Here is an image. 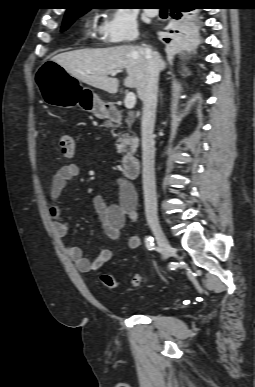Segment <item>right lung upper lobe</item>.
I'll return each instance as SVG.
<instances>
[{
	"label": "right lung upper lobe",
	"instance_id": "right-lung-upper-lobe-1",
	"mask_svg": "<svg viewBox=\"0 0 255 387\" xmlns=\"http://www.w3.org/2000/svg\"><path fill=\"white\" fill-rule=\"evenodd\" d=\"M77 4H78L77 7L75 6V7L68 8L66 13L70 11H88L89 10V8L85 7V3L79 2Z\"/></svg>",
	"mask_w": 255,
	"mask_h": 387
}]
</instances>
